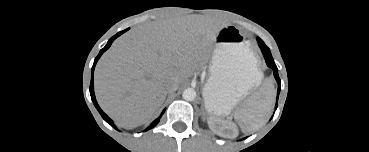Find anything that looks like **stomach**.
Masks as SVG:
<instances>
[{"label": "stomach", "mask_w": 369, "mask_h": 152, "mask_svg": "<svg viewBox=\"0 0 369 152\" xmlns=\"http://www.w3.org/2000/svg\"><path fill=\"white\" fill-rule=\"evenodd\" d=\"M261 79L262 73L246 36L232 25L220 28L215 39L210 77L203 88L206 110L218 116L228 115L260 84Z\"/></svg>", "instance_id": "stomach-1"}]
</instances>
